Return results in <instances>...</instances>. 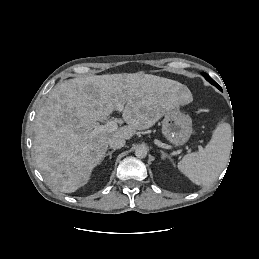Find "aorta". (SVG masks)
Returning <instances> with one entry per match:
<instances>
[{"instance_id": "1", "label": "aorta", "mask_w": 259, "mask_h": 259, "mask_svg": "<svg viewBox=\"0 0 259 259\" xmlns=\"http://www.w3.org/2000/svg\"><path fill=\"white\" fill-rule=\"evenodd\" d=\"M135 156L137 158H145L147 156V150L145 147H137L135 149Z\"/></svg>"}]
</instances>
